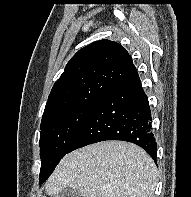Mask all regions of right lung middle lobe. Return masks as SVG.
I'll list each match as a JSON object with an SVG mask.
<instances>
[{
	"label": "right lung middle lobe",
	"instance_id": "dd1d6c3e",
	"mask_svg": "<svg viewBox=\"0 0 191 197\" xmlns=\"http://www.w3.org/2000/svg\"><path fill=\"white\" fill-rule=\"evenodd\" d=\"M95 104L70 107L42 119L39 140L41 155L40 184L51 175L59 161L67 154Z\"/></svg>",
	"mask_w": 191,
	"mask_h": 197
}]
</instances>
